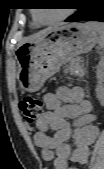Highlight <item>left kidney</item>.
Here are the masks:
<instances>
[{"label":"left kidney","mask_w":104,"mask_h":169,"mask_svg":"<svg viewBox=\"0 0 104 169\" xmlns=\"http://www.w3.org/2000/svg\"><path fill=\"white\" fill-rule=\"evenodd\" d=\"M103 66L104 63L101 61L97 67V78L99 79V82L96 87V95L101 103L104 101Z\"/></svg>","instance_id":"obj_1"}]
</instances>
